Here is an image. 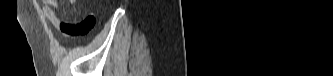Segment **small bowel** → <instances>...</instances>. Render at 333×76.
Here are the masks:
<instances>
[{"mask_svg": "<svg viewBox=\"0 0 333 76\" xmlns=\"http://www.w3.org/2000/svg\"><path fill=\"white\" fill-rule=\"evenodd\" d=\"M71 5H78L79 0H69ZM58 3L56 0L43 1V14L45 18L56 29L61 31L65 36L70 39H86L87 33L94 27L95 18L92 13L87 14L85 19L81 22H69L59 19L56 15Z\"/></svg>", "mask_w": 333, "mask_h": 76, "instance_id": "small-bowel-1", "label": "small bowel"}]
</instances>
